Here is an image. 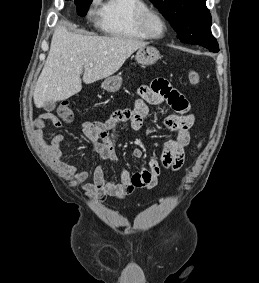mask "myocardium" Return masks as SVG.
<instances>
[{
	"instance_id": "f54148a6",
	"label": "myocardium",
	"mask_w": 259,
	"mask_h": 283,
	"mask_svg": "<svg viewBox=\"0 0 259 283\" xmlns=\"http://www.w3.org/2000/svg\"><path fill=\"white\" fill-rule=\"evenodd\" d=\"M154 19L160 20L164 26V32L161 35L154 34L151 29V23ZM140 26L142 30L144 31V33L149 38L154 39V40H161L165 38L169 30V22L167 18L164 16V14L161 11L154 9V8H148L142 12L140 16Z\"/></svg>"
}]
</instances>
